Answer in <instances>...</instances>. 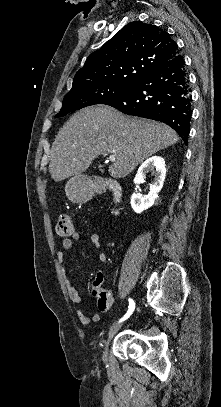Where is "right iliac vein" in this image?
Returning a JSON list of instances; mask_svg holds the SVG:
<instances>
[{"mask_svg":"<svg viewBox=\"0 0 221 407\" xmlns=\"http://www.w3.org/2000/svg\"><path fill=\"white\" fill-rule=\"evenodd\" d=\"M122 326V322H118L115 325H113L111 327V329L109 330L108 333V340L106 342V345L104 347V351H103V355H102V360L106 361L107 360V354H108V346H109V342L111 341V339L113 338V336L119 331V329Z\"/></svg>","mask_w":221,"mask_h":407,"instance_id":"1","label":"right iliac vein"}]
</instances>
